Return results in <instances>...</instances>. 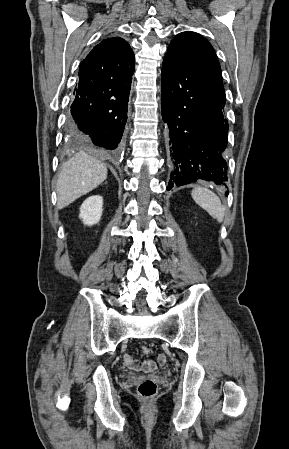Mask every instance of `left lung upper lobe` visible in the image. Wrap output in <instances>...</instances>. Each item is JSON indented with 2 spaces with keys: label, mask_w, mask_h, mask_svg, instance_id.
<instances>
[{
  "label": "left lung upper lobe",
  "mask_w": 289,
  "mask_h": 449,
  "mask_svg": "<svg viewBox=\"0 0 289 449\" xmlns=\"http://www.w3.org/2000/svg\"><path fill=\"white\" fill-rule=\"evenodd\" d=\"M168 52L196 59L207 65L222 78L220 64L213 47L198 33L190 31L179 33L169 45Z\"/></svg>",
  "instance_id": "obj_1"
}]
</instances>
